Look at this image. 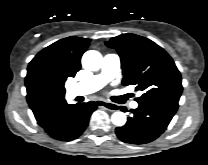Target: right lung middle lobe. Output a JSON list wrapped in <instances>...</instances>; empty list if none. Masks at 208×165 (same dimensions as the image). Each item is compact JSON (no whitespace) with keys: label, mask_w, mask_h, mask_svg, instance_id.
Returning <instances> with one entry per match:
<instances>
[{"label":"right lung middle lobe","mask_w":208,"mask_h":165,"mask_svg":"<svg viewBox=\"0 0 208 165\" xmlns=\"http://www.w3.org/2000/svg\"><path fill=\"white\" fill-rule=\"evenodd\" d=\"M27 91L37 97H45L56 92H65V79L44 78L33 74L27 75Z\"/></svg>","instance_id":"dd1d6c3e"}]
</instances>
